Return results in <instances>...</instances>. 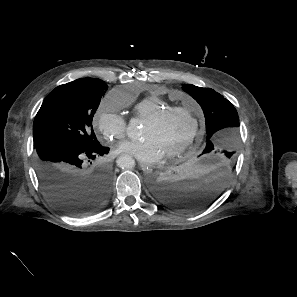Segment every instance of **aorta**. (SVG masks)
<instances>
[{
  "label": "aorta",
  "mask_w": 297,
  "mask_h": 297,
  "mask_svg": "<svg viewBox=\"0 0 297 297\" xmlns=\"http://www.w3.org/2000/svg\"><path fill=\"white\" fill-rule=\"evenodd\" d=\"M127 136L131 140H137L140 136L139 121L132 118L126 128ZM117 165L122 169H131L135 165V161L129 155H122L117 159Z\"/></svg>",
  "instance_id": "obj_1"
}]
</instances>
